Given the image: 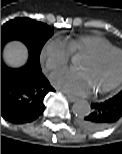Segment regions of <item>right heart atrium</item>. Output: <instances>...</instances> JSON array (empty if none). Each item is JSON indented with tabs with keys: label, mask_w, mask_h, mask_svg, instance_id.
<instances>
[{
	"label": "right heart atrium",
	"mask_w": 122,
	"mask_h": 154,
	"mask_svg": "<svg viewBox=\"0 0 122 154\" xmlns=\"http://www.w3.org/2000/svg\"><path fill=\"white\" fill-rule=\"evenodd\" d=\"M71 58V52L65 40L51 38L42 48L41 60L49 71H56L66 66Z\"/></svg>",
	"instance_id": "obj_1"
}]
</instances>
